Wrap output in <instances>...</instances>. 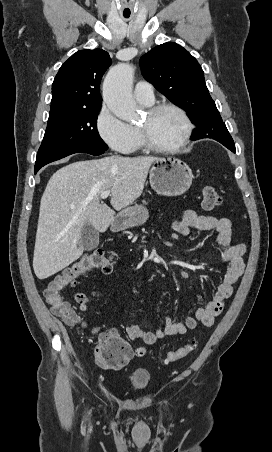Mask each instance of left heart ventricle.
<instances>
[{
	"mask_svg": "<svg viewBox=\"0 0 272 452\" xmlns=\"http://www.w3.org/2000/svg\"><path fill=\"white\" fill-rule=\"evenodd\" d=\"M152 142L168 146L179 141L184 131L181 117L174 111L162 110L154 115H146L140 122Z\"/></svg>",
	"mask_w": 272,
	"mask_h": 452,
	"instance_id": "obj_1",
	"label": "left heart ventricle"
}]
</instances>
